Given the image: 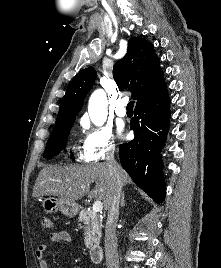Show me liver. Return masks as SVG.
I'll return each instance as SVG.
<instances>
[{
	"label": "liver",
	"mask_w": 221,
	"mask_h": 268,
	"mask_svg": "<svg viewBox=\"0 0 221 268\" xmlns=\"http://www.w3.org/2000/svg\"><path fill=\"white\" fill-rule=\"evenodd\" d=\"M122 185L131 184V178L120 167ZM91 183H95L90 190ZM110 174L107 163H94L84 166L44 167L35 182L33 197L55 196L75 202L88 195L90 199L101 200L105 209L110 201Z\"/></svg>",
	"instance_id": "liver-1"
}]
</instances>
